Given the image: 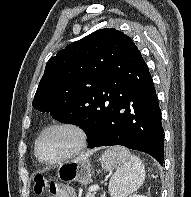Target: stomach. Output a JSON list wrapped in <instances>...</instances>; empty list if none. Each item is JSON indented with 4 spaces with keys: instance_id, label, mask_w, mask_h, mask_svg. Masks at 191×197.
<instances>
[{
    "instance_id": "1",
    "label": "stomach",
    "mask_w": 191,
    "mask_h": 197,
    "mask_svg": "<svg viewBox=\"0 0 191 197\" xmlns=\"http://www.w3.org/2000/svg\"><path fill=\"white\" fill-rule=\"evenodd\" d=\"M101 164L105 169H112L118 166L115 159L109 157L106 151L101 157ZM58 178L61 181H76L81 184H87L91 180V164L88 158H77L76 160L62 165L58 169Z\"/></svg>"
}]
</instances>
